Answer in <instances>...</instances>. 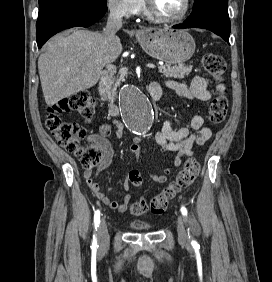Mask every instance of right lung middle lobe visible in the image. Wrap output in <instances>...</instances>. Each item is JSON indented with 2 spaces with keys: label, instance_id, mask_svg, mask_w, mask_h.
Here are the masks:
<instances>
[{
  "label": "right lung middle lobe",
  "instance_id": "dd1d6c3e",
  "mask_svg": "<svg viewBox=\"0 0 272 282\" xmlns=\"http://www.w3.org/2000/svg\"><path fill=\"white\" fill-rule=\"evenodd\" d=\"M54 1H61V0H39V6L42 7L50 2H54ZM78 1H89V2H96V3H102V4H106L107 0H78Z\"/></svg>",
  "mask_w": 272,
  "mask_h": 282
}]
</instances>
